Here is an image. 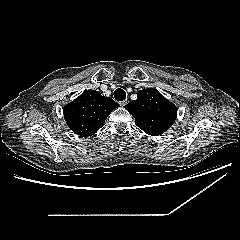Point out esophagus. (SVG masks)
Returning <instances> with one entry per match:
<instances>
[{"mask_svg":"<svg viewBox=\"0 0 240 240\" xmlns=\"http://www.w3.org/2000/svg\"><path fill=\"white\" fill-rule=\"evenodd\" d=\"M119 104H120L122 107H124V106L127 104V101H126V100L121 101Z\"/></svg>","mask_w":240,"mask_h":240,"instance_id":"obj_1","label":"esophagus"}]
</instances>
